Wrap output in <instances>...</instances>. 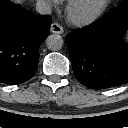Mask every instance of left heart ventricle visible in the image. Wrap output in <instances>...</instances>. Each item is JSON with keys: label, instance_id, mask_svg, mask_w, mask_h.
<instances>
[{"label": "left heart ventricle", "instance_id": "obj_1", "mask_svg": "<svg viewBox=\"0 0 128 128\" xmlns=\"http://www.w3.org/2000/svg\"><path fill=\"white\" fill-rule=\"evenodd\" d=\"M97 0H87L86 4H85V8L89 7L90 5H92L94 2H96Z\"/></svg>", "mask_w": 128, "mask_h": 128}]
</instances>
